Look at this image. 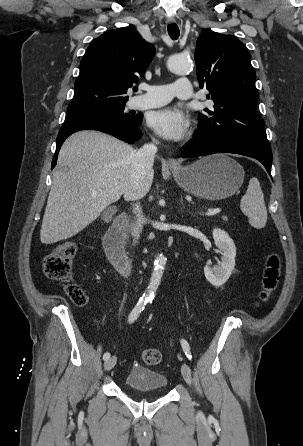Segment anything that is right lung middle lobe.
<instances>
[{
	"label": "right lung middle lobe",
	"mask_w": 303,
	"mask_h": 446,
	"mask_svg": "<svg viewBox=\"0 0 303 446\" xmlns=\"http://www.w3.org/2000/svg\"><path fill=\"white\" fill-rule=\"evenodd\" d=\"M125 103H118L113 105L101 106L89 110H67L65 122L71 120L89 117V116H103L116 120L123 121L128 124H135L142 119L141 114L124 113Z\"/></svg>",
	"instance_id": "1"
}]
</instances>
